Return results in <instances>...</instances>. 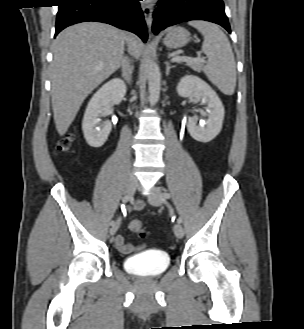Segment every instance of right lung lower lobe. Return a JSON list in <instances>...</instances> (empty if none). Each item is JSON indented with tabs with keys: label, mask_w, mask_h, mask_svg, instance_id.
<instances>
[{
	"label": "right lung lower lobe",
	"mask_w": 304,
	"mask_h": 329,
	"mask_svg": "<svg viewBox=\"0 0 304 329\" xmlns=\"http://www.w3.org/2000/svg\"><path fill=\"white\" fill-rule=\"evenodd\" d=\"M140 0H62L59 4L55 36L64 28L87 21L104 22L147 40Z\"/></svg>",
	"instance_id": "right-lung-lower-lobe-1"
}]
</instances>
